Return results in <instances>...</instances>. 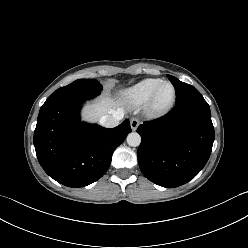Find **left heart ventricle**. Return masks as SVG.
Masks as SVG:
<instances>
[{
    "label": "left heart ventricle",
    "mask_w": 248,
    "mask_h": 248,
    "mask_svg": "<svg viewBox=\"0 0 248 248\" xmlns=\"http://www.w3.org/2000/svg\"><path fill=\"white\" fill-rule=\"evenodd\" d=\"M172 95H173L172 87L169 85L163 86L157 96V104L158 105L167 104L171 100Z\"/></svg>",
    "instance_id": "left-heart-ventricle-1"
}]
</instances>
